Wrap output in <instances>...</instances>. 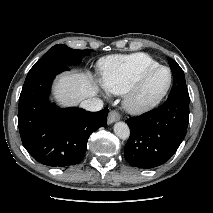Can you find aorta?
I'll list each match as a JSON object with an SVG mask.
<instances>
[{
    "label": "aorta",
    "mask_w": 213,
    "mask_h": 213,
    "mask_svg": "<svg viewBox=\"0 0 213 213\" xmlns=\"http://www.w3.org/2000/svg\"><path fill=\"white\" fill-rule=\"evenodd\" d=\"M114 133L120 139H127L130 136V129L125 122H117L114 125Z\"/></svg>",
    "instance_id": "aorta-1"
}]
</instances>
